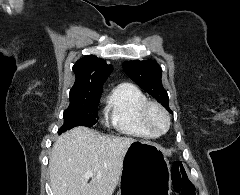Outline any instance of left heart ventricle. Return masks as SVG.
I'll list each match as a JSON object with an SVG mask.
<instances>
[{"label":"left heart ventricle","mask_w":240,"mask_h":195,"mask_svg":"<svg viewBox=\"0 0 240 195\" xmlns=\"http://www.w3.org/2000/svg\"><path fill=\"white\" fill-rule=\"evenodd\" d=\"M151 122L157 129H163L165 126L164 117L156 110L151 113Z\"/></svg>","instance_id":"left-heart-ventricle-1"}]
</instances>
